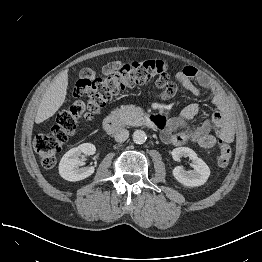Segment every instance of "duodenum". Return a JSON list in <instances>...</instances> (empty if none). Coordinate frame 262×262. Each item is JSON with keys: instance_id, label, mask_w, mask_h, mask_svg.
I'll return each instance as SVG.
<instances>
[{"instance_id": "obj_1", "label": "duodenum", "mask_w": 262, "mask_h": 262, "mask_svg": "<svg viewBox=\"0 0 262 262\" xmlns=\"http://www.w3.org/2000/svg\"><path fill=\"white\" fill-rule=\"evenodd\" d=\"M162 122V119H156V118H150L147 121V126L151 127V128H155L157 127L160 123ZM122 127H124V124L122 123V121L116 117V116H107L104 120H103V129L107 132V133H116L117 131H119Z\"/></svg>"}]
</instances>
